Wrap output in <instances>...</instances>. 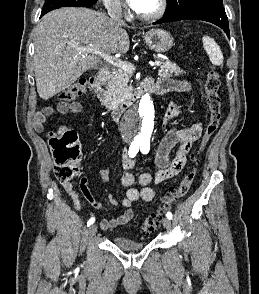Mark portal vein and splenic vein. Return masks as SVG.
Segmentation results:
<instances>
[{"instance_id":"portal-vein-and-splenic-vein-1","label":"portal vein and splenic vein","mask_w":259,"mask_h":294,"mask_svg":"<svg viewBox=\"0 0 259 294\" xmlns=\"http://www.w3.org/2000/svg\"><path fill=\"white\" fill-rule=\"evenodd\" d=\"M79 50L82 52L94 53L96 55H99L106 62H108L118 68H121L124 71H127L129 73H132L133 71H135L134 65L127 63V62H124V61H121L119 59H115L111 55L106 54V53L100 51L99 49L94 48L92 45L81 47V48H79ZM161 64H162V62H160V61L150 62L151 66H160Z\"/></svg>"}]
</instances>
